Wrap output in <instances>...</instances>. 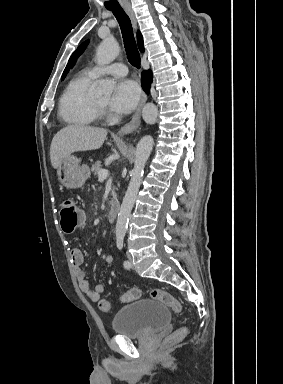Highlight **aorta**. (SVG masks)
I'll return each mask as SVG.
<instances>
[{
  "label": "aorta",
  "instance_id": "aorta-1",
  "mask_svg": "<svg viewBox=\"0 0 283 384\" xmlns=\"http://www.w3.org/2000/svg\"><path fill=\"white\" fill-rule=\"evenodd\" d=\"M119 51V44L114 39L107 38L103 40L96 51V58L98 64L103 65L112 62L118 56ZM113 89V81L103 80L98 84L95 93L98 96H109L112 93ZM157 116L158 110L153 103H147L143 107L142 117L146 123L154 124L156 122ZM153 145L154 139L149 135L141 138V140L137 144L134 168L131 172V179L117 217V237H124L126 233L129 217L141 185L144 168L153 149Z\"/></svg>",
  "mask_w": 283,
  "mask_h": 384
}]
</instances>
